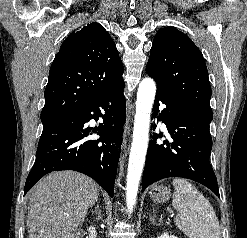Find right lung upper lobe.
<instances>
[{
  "mask_svg": "<svg viewBox=\"0 0 247 238\" xmlns=\"http://www.w3.org/2000/svg\"><path fill=\"white\" fill-rule=\"evenodd\" d=\"M115 43L93 22L71 33L51 65L41 120L60 118L123 82Z\"/></svg>",
  "mask_w": 247,
  "mask_h": 238,
  "instance_id": "right-lung-upper-lobe-1",
  "label": "right lung upper lobe"
}]
</instances>
